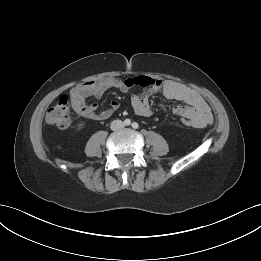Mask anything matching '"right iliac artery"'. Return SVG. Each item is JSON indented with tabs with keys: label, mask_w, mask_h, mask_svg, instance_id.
Instances as JSON below:
<instances>
[{
	"label": "right iliac artery",
	"mask_w": 261,
	"mask_h": 261,
	"mask_svg": "<svg viewBox=\"0 0 261 261\" xmlns=\"http://www.w3.org/2000/svg\"><path fill=\"white\" fill-rule=\"evenodd\" d=\"M124 124H125L126 126L130 125V124H131L130 119H125V120H124Z\"/></svg>",
	"instance_id": "1"
}]
</instances>
